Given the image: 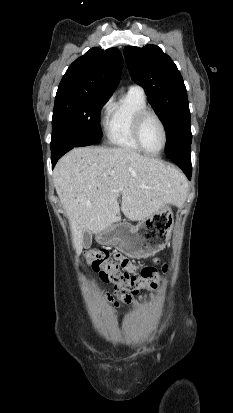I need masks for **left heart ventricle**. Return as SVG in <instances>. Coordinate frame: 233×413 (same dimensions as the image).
<instances>
[{
	"label": "left heart ventricle",
	"mask_w": 233,
	"mask_h": 413,
	"mask_svg": "<svg viewBox=\"0 0 233 413\" xmlns=\"http://www.w3.org/2000/svg\"><path fill=\"white\" fill-rule=\"evenodd\" d=\"M141 138L144 146L150 151H157L163 142L162 130L157 120L148 116L141 129Z\"/></svg>",
	"instance_id": "1"
}]
</instances>
